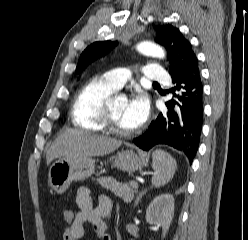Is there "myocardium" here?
Returning <instances> with one entry per match:
<instances>
[{"label": "myocardium", "instance_id": "f54148a6", "mask_svg": "<svg viewBox=\"0 0 248 240\" xmlns=\"http://www.w3.org/2000/svg\"><path fill=\"white\" fill-rule=\"evenodd\" d=\"M102 123L106 130L116 133L118 135H130L135 132V130H123L119 128L110 112V106L105 103L104 110L102 113Z\"/></svg>", "mask_w": 248, "mask_h": 240}]
</instances>
